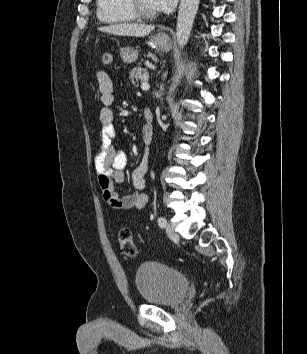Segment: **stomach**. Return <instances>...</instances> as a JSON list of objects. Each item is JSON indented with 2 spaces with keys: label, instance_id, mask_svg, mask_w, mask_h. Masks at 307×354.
I'll return each mask as SVG.
<instances>
[{
  "label": "stomach",
  "instance_id": "0dacf381",
  "mask_svg": "<svg viewBox=\"0 0 307 354\" xmlns=\"http://www.w3.org/2000/svg\"><path fill=\"white\" fill-rule=\"evenodd\" d=\"M149 44L151 47L160 51H168L171 49L170 37L163 32H160L151 37ZM120 57L124 63H132L137 59L138 52L133 48L125 47L121 49Z\"/></svg>",
  "mask_w": 307,
  "mask_h": 354
}]
</instances>
